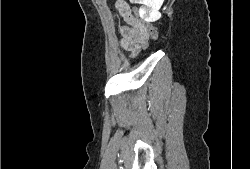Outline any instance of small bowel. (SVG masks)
Wrapping results in <instances>:
<instances>
[{
  "label": "small bowel",
  "instance_id": "obj_1",
  "mask_svg": "<svg viewBox=\"0 0 250 169\" xmlns=\"http://www.w3.org/2000/svg\"><path fill=\"white\" fill-rule=\"evenodd\" d=\"M119 12L124 17L126 22L131 26V29L125 35L126 40L124 42V47L133 55H136L146 43H138L136 41V36L139 35V29L141 28V25L131 15L124 14L120 9Z\"/></svg>",
  "mask_w": 250,
  "mask_h": 169
}]
</instances>
